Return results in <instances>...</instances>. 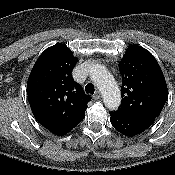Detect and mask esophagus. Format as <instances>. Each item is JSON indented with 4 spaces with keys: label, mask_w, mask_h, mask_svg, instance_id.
I'll return each mask as SVG.
<instances>
[{
    "label": "esophagus",
    "mask_w": 175,
    "mask_h": 175,
    "mask_svg": "<svg viewBox=\"0 0 175 175\" xmlns=\"http://www.w3.org/2000/svg\"><path fill=\"white\" fill-rule=\"evenodd\" d=\"M101 98V92L100 91H96V93L93 95V99L94 100H98Z\"/></svg>",
    "instance_id": "obj_1"
}]
</instances>
